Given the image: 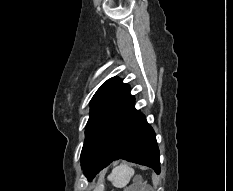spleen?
I'll return each instance as SVG.
<instances>
[{
    "label": "spleen",
    "instance_id": "1",
    "mask_svg": "<svg viewBox=\"0 0 233 191\" xmlns=\"http://www.w3.org/2000/svg\"><path fill=\"white\" fill-rule=\"evenodd\" d=\"M133 174L134 170L132 168L126 164H121L112 170V173L108 176V180L112 182L113 186L123 188L129 183Z\"/></svg>",
    "mask_w": 233,
    "mask_h": 191
}]
</instances>
